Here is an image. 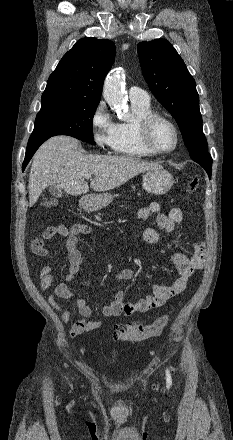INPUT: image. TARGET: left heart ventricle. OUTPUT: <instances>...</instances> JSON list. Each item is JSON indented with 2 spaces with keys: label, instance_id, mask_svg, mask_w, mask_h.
<instances>
[{
  "label": "left heart ventricle",
  "instance_id": "1",
  "mask_svg": "<svg viewBox=\"0 0 233 440\" xmlns=\"http://www.w3.org/2000/svg\"><path fill=\"white\" fill-rule=\"evenodd\" d=\"M152 142L159 149H170L175 142L172 128L165 122H158L153 128Z\"/></svg>",
  "mask_w": 233,
  "mask_h": 440
}]
</instances>
